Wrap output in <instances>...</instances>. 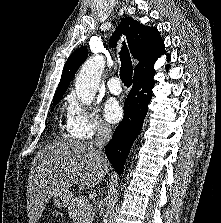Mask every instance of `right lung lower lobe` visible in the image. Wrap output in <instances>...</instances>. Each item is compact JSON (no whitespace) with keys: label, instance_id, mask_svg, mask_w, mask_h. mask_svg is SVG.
<instances>
[{"label":"right lung lower lobe","instance_id":"obj_1","mask_svg":"<svg viewBox=\"0 0 221 223\" xmlns=\"http://www.w3.org/2000/svg\"><path fill=\"white\" fill-rule=\"evenodd\" d=\"M154 74L155 72L133 77L132 90L124 103V118L106 146L105 154L119 175L123 172L125 159L143 126L152 97Z\"/></svg>","mask_w":221,"mask_h":223}]
</instances>
